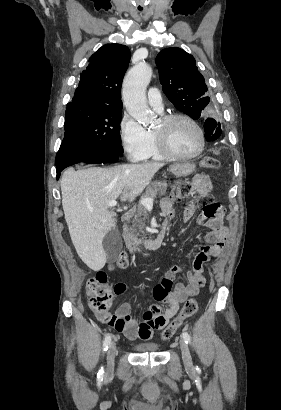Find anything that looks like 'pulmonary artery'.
<instances>
[{
    "instance_id": "obj_1",
    "label": "pulmonary artery",
    "mask_w": 281,
    "mask_h": 410,
    "mask_svg": "<svg viewBox=\"0 0 281 410\" xmlns=\"http://www.w3.org/2000/svg\"><path fill=\"white\" fill-rule=\"evenodd\" d=\"M149 105L157 112L163 111V100L158 88L152 87L147 92Z\"/></svg>"
}]
</instances>
